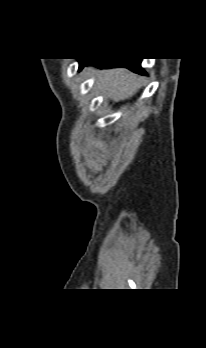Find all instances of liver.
<instances>
[{"label": "liver", "mask_w": 206, "mask_h": 348, "mask_svg": "<svg viewBox=\"0 0 206 348\" xmlns=\"http://www.w3.org/2000/svg\"><path fill=\"white\" fill-rule=\"evenodd\" d=\"M89 70L97 74L101 89L116 102L128 99L141 87L142 79L125 69Z\"/></svg>", "instance_id": "6515ba94"}]
</instances>
